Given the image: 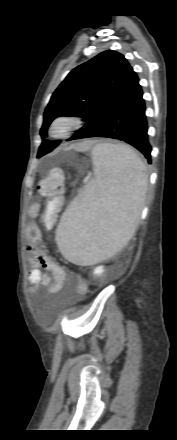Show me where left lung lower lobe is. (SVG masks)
<instances>
[{"label": "left lung lower lobe", "instance_id": "1", "mask_svg": "<svg viewBox=\"0 0 177 440\" xmlns=\"http://www.w3.org/2000/svg\"><path fill=\"white\" fill-rule=\"evenodd\" d=\"M143 91L138 85L129 99L101 126L86 135L124 141L139 150L151 164V146L148 141V123L145 115Z\"/></svg>", "mask_w": 177, "mask_h": 440}]
</instances>
